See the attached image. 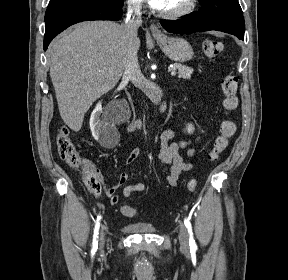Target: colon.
<instances>
[{
	"instance_id": "obj_1",
	"label": "colon",
	"mask_w": 288,
	"mask_h": 280,
	"mask_svg": "<svg viewBox=\"0 0 288 280\" xmlns=\"http://www.w3.org/2000/svg\"><path fill=\"white\" fill-rule=\"evenodd\" d=\"M202 50L208 59L215 60L223 53L224 46L220 41L208 39L203 42ZM222 90L224 94L223 107L226 114H231L238 106L237 76L233 74L226 75L222 81ZM235 130L236 126L232 120L226 119L221 123L219 135L215 139L214 146L209 153V159L211 161L216 160L218 156L226 150L229 139L233 136ZM56 144L60 158L68 166L80 169L87 189L94 194H98L101 191L102 185L98 178L97 169L90 161L81 157L66 127H62L59 131ZM187 187L190 191H195L198 183L195 179H191ZM120 211L127 217L137 215V210L129 205H123Z\"/></svg>"
}]
</instances>
